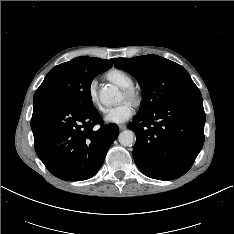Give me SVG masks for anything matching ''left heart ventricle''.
Wrapping results in <instances>:
<instances>
[{"label": "left heart ventricle", "instance_id": "b2bd125f", "mask_svg": "<svg viewBox=\"0 0 234 234\" xmlns=\"http://www.w3.org/2000/svg\"><path fill=\"white\" fill-rule=\"evenodd\" d=\"M121 99H124L123 95H122Z\"/></svg>", "mask_w": 234, "mask_h": 234}]
</instances>
